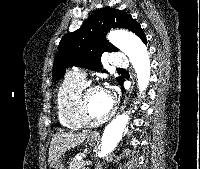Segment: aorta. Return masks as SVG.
Returning <instances> with one entry per match:
<instances>
[{
    "label": "aorta",
    "mask_w": 200,
    "mask_h": 169,
    "mask_svg": "<svg viewBox=\"0 0 200 169\" xmlns=\"http://www.w3.org/2000/svg\"><path fill=\"white\" fill-rule=\"evenodd\" d=\"M108 40L128 56L137 75L139 92L145 91L149 85L151 74L147 47L138 36L124 31L109 33ZM129 119V113H123L105 127L102 135L100 157H104L114 150L122 138Z\"/></svg>",
    "instance_id": "1"
}]
</instances>
